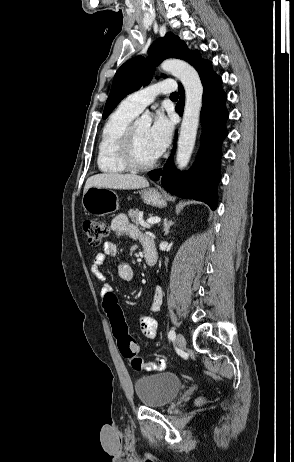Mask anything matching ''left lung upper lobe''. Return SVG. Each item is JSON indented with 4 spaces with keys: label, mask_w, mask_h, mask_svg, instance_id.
I'll list each match as a JSON object with an SVG mask.
<instances>
[{
    "label": "left lung upper lobe",
    "mask_w": 294,
    "mask_h": 462,
    "mask_svg": "<svg viewBox=\"0 0 294 462\" xmlns=\"http://www.w3.org/2000/svg\"><path fill=\"white\" fill-rule=\"evenodd\" d=\"M148 55L147 59L143 56L134 57L118 69L104 108V119L125 96L150 83L153 68L162 60L171 57L180 58L188 61L195 68L206 62L198 51H190L185 43L172 33H167L163 38L156 40L149 48Z\"/></svg>",
    "instance_id": "left-lung-upper-lobe-1"
}]
</instances>
